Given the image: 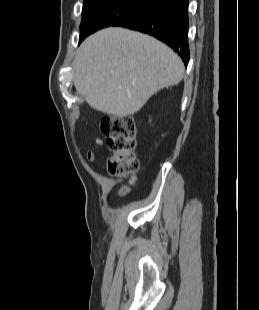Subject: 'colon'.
I'll return each mask as SVG.
<instances>
[{
    "instance_id": "5ec220e1",
    "label": "colon",
    "mask_w": 259,
    "mask_h": 310,
    "mask_svg": "<svg viewBox=\"0 0 259 310\" xmlns=\"http://www.w3.org/2000/svg\"><path fill=\"white\" fill-rule=\"evenodd\" d=\"M100 129L110 149L108 172L116 177H130L139 169L135 153L136 126L132 117H104ZM122 189L120 194H125Z\"/></svg>"
}]
</instances>
